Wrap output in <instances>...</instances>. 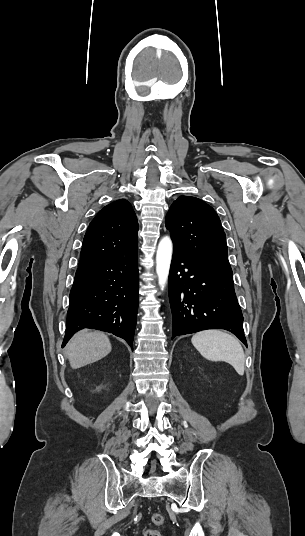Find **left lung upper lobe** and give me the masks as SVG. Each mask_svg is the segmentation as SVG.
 <instances>
[{
	"mask_svg": "<svg viewBox=\"0 0 305 536\" xmlns=\"http://www.w3.org/2000/svg\"><path fill=\"white\" fill-rule=\"evenodd\" d=\"M165 223L177 251L230 266L221 221L214 209L201 199L180 196L169 208Z\"/></svg>",
	"mask_w": 305,
	"mask_h": 536,
	"instance_id": "1",
	"label": "left lung upper lobe"
}]
</instances>
